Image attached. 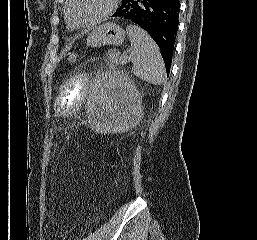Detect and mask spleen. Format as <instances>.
<instances>
[{
	"label": "spleen",
	"mask_w": 257,
	"mask_h": 240,
	"mask_svg": "<svg viewBox=\"0 0 257 240\" xmlns=\"http://www.w3.org/2000/svg\"><path fill=\"white\" fill-rule=\"evenodd\" d=\"M135 57L132 71L135 76L153 85L165 82V66L160 50L153 39L136 25L126 28Z\"/></svg>",
	"instance_id": "1"
}]
</instances>
